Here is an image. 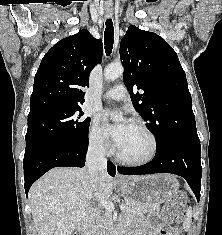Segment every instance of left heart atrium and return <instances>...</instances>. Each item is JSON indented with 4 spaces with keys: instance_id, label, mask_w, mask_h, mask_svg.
<instances>
[{
    "instance_id": "1",
    "label": "left heart atrium",
    "mask_w": 222,
    "mask_h": 235,
    "mask_svg": "<svg viewBox=\"0 0 222 235\" xmlns=\"http://www.w3.org/2000/svg\"><path fill=\"white\" fill-rule=\"evenodd\" d=\"M109 114H104V119L107 122L108 121ZM130 123L128 121H124L122 124L118 126H111L107 124L108 130L111 133L113 140L117 147L122 143L125 134L127 132V129L129 128Z\"/></svg>"
}]
</instances>
